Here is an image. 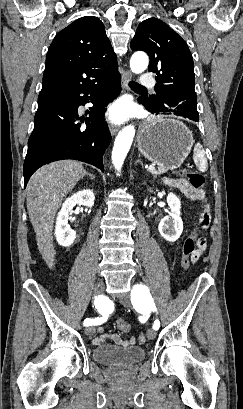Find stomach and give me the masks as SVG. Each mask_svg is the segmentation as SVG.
<instances>
[{
    "label": "stomach",
    "mask_w": 243,
    "mask_h": 409,
    "mask_svg": "<svg viewBox=\"0 0 243 409\" xmlns=\"http://www.w3.org/2000/svg\"><path fill=\"white\" fill-rule=\"evenodd\" d=\"M193 143L192 132L186 125L165 116L144 123L137 139L140 153L166 170L180 167Z\"/></svg>",
    "instance_id": "0dacf381"
}]
</instances>
